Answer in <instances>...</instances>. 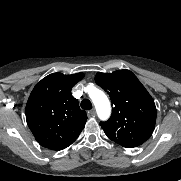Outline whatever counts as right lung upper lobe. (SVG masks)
Here are the masks:
<instances>
[{
	"label": "right lung upper lobe",
	"mask_w": 181,
	"mask_h": 181,
	"mask_svg": "<svg viewBox=\"0 0 181 181\" xmlns=\"http://www.w3.org/2000/svg\"><path fill=\"white\" fill-rule=\"evenodd\" d=\"M83 73H52L39 81L26 104V120L37 142L51 150L71 145L83 130L87 114L71 94Z\"/></svg>",
	"instance_id": "right-lung-upper-lobe-1"
}]
</instances>
